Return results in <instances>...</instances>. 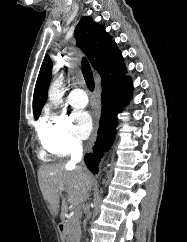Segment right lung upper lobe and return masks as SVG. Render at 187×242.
Here are the masks:
<instances>
[{
	"label": "right lung upper lobe",
	"instance_id": "right-lung-upper-lobe-1",
	"mask_svg": "<svg viewBox=\"0 0 187 242\" xmlns=\"http://www.w3.org/2000/svg\"><path fill=\"white\" fill-rule=\"evenodd\" d=\"M74 36L77 46L87 55L94 69L101 76L102 86L124 76L126 68L116 43L104 30L103 25L88 17L79 21ZM52 61L45 56L36 82L33 96L34 116H39L47 100V90L51 80Z\"/></svg>",
	"mask_w": 187,
	"mask_h": 242
}]
</instances>
